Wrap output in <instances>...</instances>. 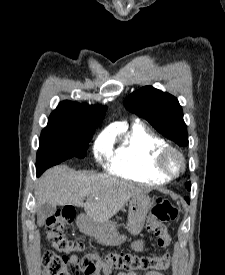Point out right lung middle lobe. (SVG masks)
I'll return each mask as SVG.
<instances>
[{"mask_svg":"<svg viewBox=\"0 0 225 275\" xmlns=\"http://www.w3.org/2000/svg\"><path fill=\"white\" fill-rule=\"evenodd\" d=\"M98 125L67 122H48L42 130L37 152L36 172L41 175L47 168L74 156H86L89 142Z\"/></svg>","mask_w":225,"mask_h":275,"instance_id":"right-lung-middle-lobe-1","label":"right lung middle lobe"}]
</instances>
